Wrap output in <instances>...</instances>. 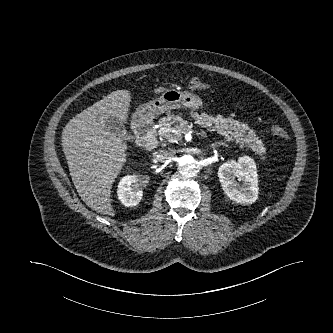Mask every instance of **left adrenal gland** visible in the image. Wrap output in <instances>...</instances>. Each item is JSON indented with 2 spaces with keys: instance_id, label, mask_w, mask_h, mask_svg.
<instances>
[{
  "instance_id": "1",
  "label": "left adrenal gland",
  "mask_w": 333,
  "mask_h": 333,
  "mask_svg": "<svg viewBox=\"0 0 333 333\" xmlns=\"http://www.w3.org/2000/svg\"><path fill=\"white\" fill-rule=\"evenodd\" d=\"M217 145H224L225 146V143H222V142H216L214 144H212V148H214L215 146Z\"/></svg>"
}]
</instances>
